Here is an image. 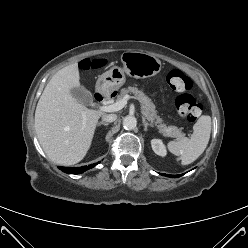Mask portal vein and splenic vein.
<instances>
[{
  "label": "portal vein and splenic vein",
  "instance_id": "portal-vein-and-splenic-vein-1",
  "mask_svg": "<svg viewBox=\"0 0 248 248\" xmlns=\"http://www.w3.org/2000/svg\"><path fill=\"white\" fill-rule=\"evenodd\" d=\"M131 98L130 95H125L123 99L115 102L114 104L111 105H106V106H101L100 110L103 112H116L121 110L126 104L127 101Z\"/></svg>",
  "mask_w": 248,
  "mask_h": 248
}]
</instances>
